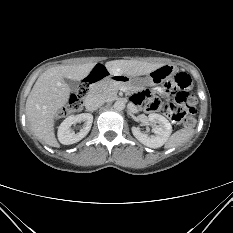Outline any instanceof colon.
Instances as JSON below:
<instances>
[{"mask_svg":"<svg viewBox=\"0 0 233 233\" xmlns=\"http://www.w3.org/2000/svg\"><path fill=\"white\" fill-rule=\"evenodd\" d=\"M191 81L187 74L178 73L172 81L166 84V91L173 96V102L153 99L150 109L159 110L173 122L190 128L196 122V98L189 92ZM87 90L83 85L79 91L73 94L65 109L66 112H75L83 108Z\"/></svg>","mask_w":233,"mask_h":233,"instance_id":"5ec220e1","label":"colon"}]
</instances>
